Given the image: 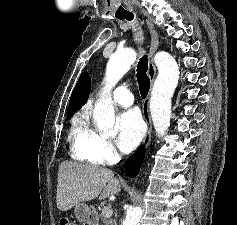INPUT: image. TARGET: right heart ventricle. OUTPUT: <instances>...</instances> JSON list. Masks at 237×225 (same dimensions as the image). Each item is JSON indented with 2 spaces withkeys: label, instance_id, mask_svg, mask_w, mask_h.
<instances>
[{
  "label": "right heart ventricle",
  "instance_id": "right-heart-ventricle-1",
  "mask_svg": "<svg viewBox=\"0 0 237 225\" xmlns=\"http://www.w3.org/2000/svg\"><path fill=\"white\" fill-rule=\"evenodd\" d=\"M95 132L88 124L85 113L77 115L70 130L71 155L74 159L99 164L92 151V140Z\"/></svg>",
  "mask_w": 237,
  "mask_h": 225
}]
</instances>
